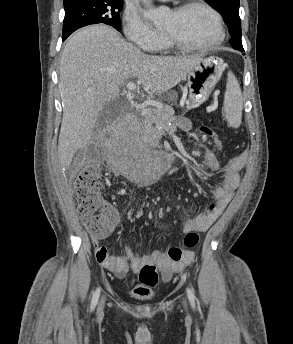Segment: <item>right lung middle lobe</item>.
Segmentation results:
<instances>
[{"label":"right lung middle lobe","mask_w":293,"mask_h":344,"mask_svg":"<svg viewBox=\"0 0 293 344\" xmlns=\"http://www.w3.org/2000/svg\"><path fill=\"white\" fill-rule=\"evenodd\" d=\"M65 18L62 39L75 30L97 23L110 25L120 31V11L123 0H78L64 4Z\"/></svg>","instance_id":"right-lung-middle-lobe-1"}]
</instances>
